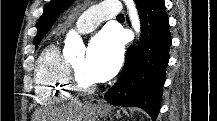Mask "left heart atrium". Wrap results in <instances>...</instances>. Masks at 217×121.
Listing matches in <instances>:
<instances>
[{"label": "left heart atrium", "mask_w": 217, "mask_h": 121, "mask_svg": "<svg viewBox=\"0 0 217 121\" xmlns=\"http://www.w3.org/2000/svg\"><path fill=\"white\" fill-rule=\"evenodd\" d=\"M122 61V43L110 28L104 29L90 42L85 70L94 81H106L118 71Z\"/></svg>", "instance_id": "obj_1"}]
</instances>
